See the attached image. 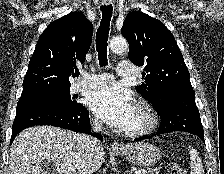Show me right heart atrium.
<instances>
[{
	"label": "right heart atrium",
	"instance_id": "1",
	"mask_svg": "<svg viewBox=\"0 0 224 174\" xmlns=\"http://www.w3.org/2000/svg\"><path fill=\"white\" fill-rule=\"evenodd\" d=\"M93 123L95 126H100V121L96 118L93 120Z\"/></svg>",
	"mask_w": 224,
	"mask_h": 174
}]
</instances>
